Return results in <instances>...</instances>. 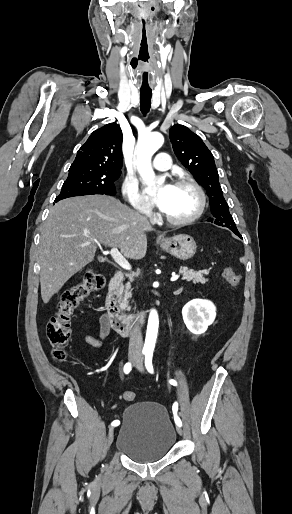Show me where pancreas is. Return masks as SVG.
Here are the masks:
<instances>
[{
  "mask_svg": "<svg viewBox=\"0 0 292 514\" xmlns=\"http://www.w3.org/2000/svg\"><path fill=\"white\" fill-rule=\"evenodd\" d=\"M179 274H182L183 278L181 280H186V282H190L192 280L193 284H205L207 282L206 278H203L204 274H208V270H199V272H194V270H188V268H181L179 270ZM127 290H123V288H120V296H119V302L120 306H127L128 304V298H132L131 294V286L130 284H126Z\"/></svg>",
  "mask_w": 292,
  "mask_h": 514,
  "instance_id": "cf45deb5",
  "label": "pancreas"
}]
</instances>
